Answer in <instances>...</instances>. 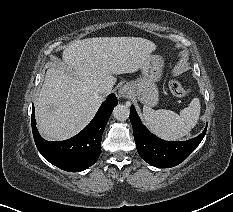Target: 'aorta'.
Returning a JSON list of instances; mask_svg holds the SVG:
<instances>
[{"instance_id": "aorta-1", "label": "aorta", "mask_w": 233, "mask_h": 212, "mask_svg": "<svg viewBox=\"0 0 233 212\" xmlns=\"http://www.w3.org/2000/svg\"><path fill=\"white\" fill-rule=\"evenodd\" d=\"M129 114H130V110L128 106L123 105V104H118L113 110L114 118L119 121H124L128 119Z\"/></svg>"}]
</instances>
